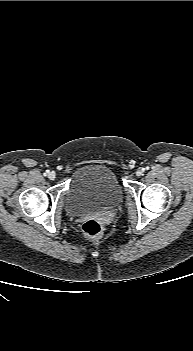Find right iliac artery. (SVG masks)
<instances>
[{"instance_id":"82829eb1","label":"right iliac artery","mask_w":193,"mask_h":351,"mask_svg":"<svg viewBox=\"0 0 193 351\" xmlns=\"http://www.w3.org/2000/svg\"><path fill=\"white\" fill-rule=\"evenodd\" d=\"M48 173H49V171L47 170V171L44 173V176H46Z\"/></svg>"}]
</instances>
